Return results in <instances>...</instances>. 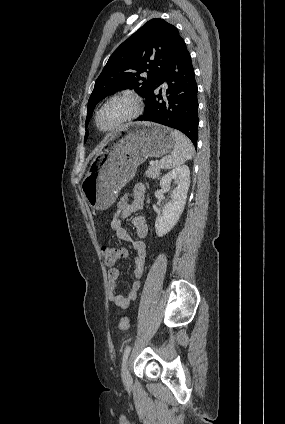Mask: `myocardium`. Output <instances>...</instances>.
<instances>
[{
    "instance_id": "obj_1",
    "label": "myocardium",
    "mask_w": 285,
    "mask_h": 424,
    "mask_svg": "<svg viewBox=\"0 0 285 424\" xmlns=\"http://www.w3.org/2000/svg\"><path fill=\"white\" fill-rule=\"evenodd\" d=\"M115 101H126L130 104L131 106V111L129 114H127L125 117H123L122 119H120L119 121H117L116 123H114L113 125H110L108 127H100L99 123H98V119L99 116L101 114V112L111 103L115 102ZM143 110V103H142V99L134 94V93H120V94H116L113 95L109 98H107L95 111L94 113V117H93V122H94V126L96 128L97 131L101 132V133H109V132H113L116 131L122 127H124L125 125L129 124L130 122L134 121L135 119H137Z\"/></svg>"
}]
</instances>
